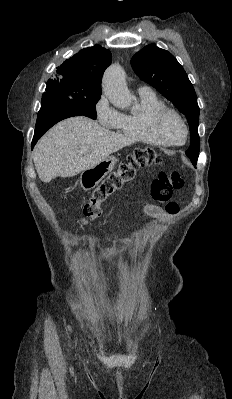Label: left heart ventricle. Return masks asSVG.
Listing matches in <instances>:
<instances>
[{
    "label": "left heart ventricle",
    "instance_id": "obj_1",
    "mask_svg": "<svg viewBox=\"0 0 232 399\" xmlns=\"http://www.w3.org/2000/svg\"><path fill=\"white\" fill-rule=\"evenodd\" d=\"M162 128L166 135L176 143H182L186 138L183 124L173 114H168L163 118Z\"/></svg>",
    "mask_w": 232,
    "mask_h": 399
}]
</instances>
